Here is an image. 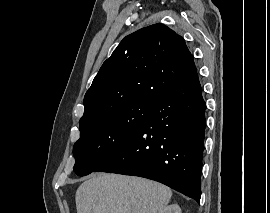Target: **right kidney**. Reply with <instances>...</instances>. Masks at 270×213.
Listing matches in <instances>:
<instances>
[{"instance_id": "ca27d5eb", "label": "right kidney", "mask_w": 270, "mask_h": 213, "mask_svg": "<svg viewBox=\"0 0 270 213\" xmlns=\"http://www.w3.org/2000/svg\"><path fill=\"white\" fill-rule=\"evenodd\" d=\"M159 213H181V208L178 204H171L164 207Z\"/></svg>"}]
</instances>
